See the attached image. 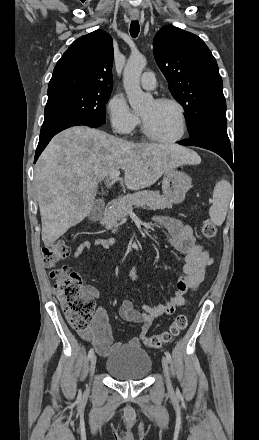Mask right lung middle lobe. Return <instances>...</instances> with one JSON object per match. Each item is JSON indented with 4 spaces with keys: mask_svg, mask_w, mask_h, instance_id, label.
Instances as JSON below:
<instances>
[{
    "mask_svg": "<svg viewBox=\"0 0 259 440\" xmlns=\"http://www.w3.org/2000/svg\"><path fill=\"white\" fill-rule=\"evenodd\" d=\"M111 91L70 89L48 94L43 124L64 118H84L105 123V104Z\"/></svg>",
    "mask_w": 259,
    "mask_h": 440,
    "instance_id": "1",
    "label": "right lung middle lobe"
}]
</instances>
